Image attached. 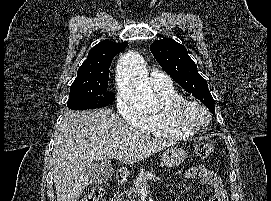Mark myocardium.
<instances>
[{"label": "myocardium", "mask_w": 271, "mask_h": 201, "mask_svg": "<svg viewBox=\"0 0 271 201\" xmlns=\"http://www.w3.org/2000/svg\"><path fill=\"white\" fill-rule=\"evenodd\" d=\"M190 108H196L205 114V121L203 123L196 122L189 114ZM165 114L178 126L191 131H200L206 128L212 119L209 109L201 102L188 99L179 98L169 101L162 106Z\"/></svg>", "instance_id": "f54148a6"}]
</instances>
